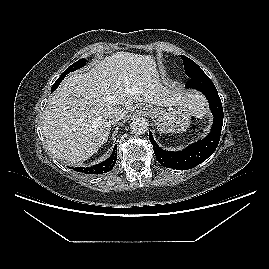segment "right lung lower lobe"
I'll list each match as a JSON object with an SVG mask.
<instances>
[{
	"label": "right lung lower lobe",
	"mask_w": 269,
	"mask_h": 269,
	"mask_svg": "<svg viewBox=\"0 0 269 269\" xmlns=\"http://www.w3.org/2000/svg\"><path fill=\"white\" fill-rule=\"evenodd\" d=\"M66 76V74L62 73L61 76L56 80V82L54 83V85L52 86L51 91H54L59 84L61 83V81L64 79V77ZM117 160V145H115L113 152L111 154V156L106 159L105 161L96 164L92 167H78V168H74L75 171L77 172H81L84 174H92V175H97V174H103V173H107L109 171H111L116 163Z\"/></svg>",
	"instance_id": "obj_1"
}]
</instances>
